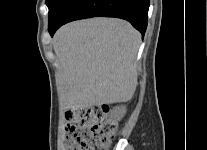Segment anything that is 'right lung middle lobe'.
<instances>
[{
    "label": "right lung middle lobe",
    "mask_w": 207,
    "mask_h": 150,
    "mask_svg": "<svg viewBox=\"0 0 207 150\" xmlns=\"http://www.w3.org/2000/svg\"><path fill=\"white\" fill-rule=\"evenodd\" d=\"M66 1L67 0H46V4L49 8V22L53 20Z\"/></svg>",
    "instance_id": "obj_1"
}]
</instances>
